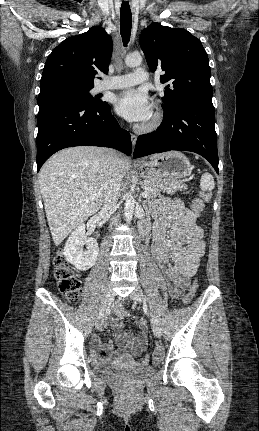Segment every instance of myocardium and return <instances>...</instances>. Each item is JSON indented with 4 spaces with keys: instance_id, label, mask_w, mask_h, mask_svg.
Instances as JSON below:
<instances>
[{
    "instance_id": "myocardium-1",
    "label": "myocardium",
    "mask_w": 259,
    "mask_h": 431,
    "mask_svg": "<svg viewBox=\"0 0 259 431\" xmlns=\"http://www.w3.org/2000/svg\"><path fill=\"white\" fill-rule=\"evenodd\" d=\"M162 121H163V114L161 110L157 108L151 115L150 119L140 127V130L144 132L155 131L160 127V125L162 124Z\"/></svg>"
}]
</instances>
